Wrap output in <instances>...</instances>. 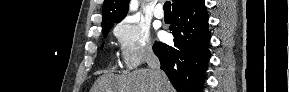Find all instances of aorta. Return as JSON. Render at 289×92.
Masks as SVG:
<instances>
[{"instance_id": "762f6f07", "label": "aorta", "mask_w": 289, "mask_h": 92, "mask_svg": "<svg viewBox=\"0 0 289 92\" xmlns=\"http://www.w3.org/2000/svg\"><path fill=\"white\" fill-rule=\"evenodd\" d=\"M137 7H138V2H137V1H132V2H131L130 9H131V10H136Z\"/></svg>"}]
</instances>
